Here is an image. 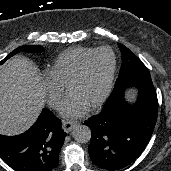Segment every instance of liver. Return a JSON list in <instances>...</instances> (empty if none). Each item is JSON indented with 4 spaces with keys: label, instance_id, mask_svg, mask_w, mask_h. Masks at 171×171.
I'll return each instance as SVG.
<instances>
[{
    "label": "liver",
    "instance_id": "obj_1",
    "mask_svg": "<svg viewBox=\"0 0 171 171\" xmlns=\"http://www.w3.org/2000/svg\"><path fill=\"white\" fill-rule=\"evenodd\" d=\"M46 90L36 65L15 56L0 69V134L23 133L45 105Z\"/></svg>",
    "mask_w": 171,
    "mask_h": 171
}]
</instances>
